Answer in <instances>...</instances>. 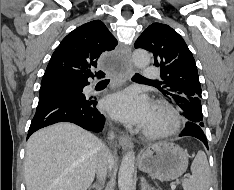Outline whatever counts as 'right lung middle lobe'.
Masks as SVG:
<instances>
[{"label":"right lung middle lobe","mask_w":234,"mask_h":190,"mask_svg":"<svg viewBox=\"0 0 234 190\" xmlns=\"http://www.w3.org/2000/svg\"><path fill=\"white\" fill-rule=\"evenodd\" d=\"M63 79H48V80H43L41 83V87H40V94H42L43 92H45L47 89L57 85L58 83L62 82Z\"/></svg>","instance_id":"obj_1"}]
</instances>
